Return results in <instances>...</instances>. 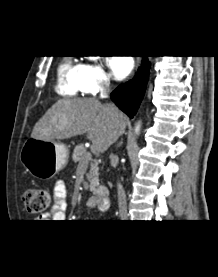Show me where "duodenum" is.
<instances>
[{
    "label": "duodenum",
    "mask_w": 218,
    "mask_h": 277,
    "mask_svg": "<svg viewBox=\"0 0 218 277\" xmlns=\"http://www.w3.org/2000/svg\"><path fill=\"white\" fill-rule=\"evenodd\" d=\"M109 189L102 185L95 189L94 196L92 198L93 203L100 209L105 210L109 205Z\"/></svg>",
    "instance_id": "obj_1"
}]
</instances>
